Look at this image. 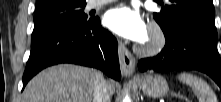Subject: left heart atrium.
<instances>
[{
    "label": "left heart atrium",
    "mask_w": 221,
    "mask_h": 102,
    "mask_svg": "<svg viewBox=\"0 0 221 102\" xmlns=\"http://www.w3.org/2000/svg\"><path fill=\"white\" fill-rule=\"evenodd\" d=\"M105 25L116 34L141 41L146 37L147 28L140 14L128 6H118L109 10L104 17Z\"/></svg>",
    "instance_id": "left-heart-atrium-1"
}]
</instances>
